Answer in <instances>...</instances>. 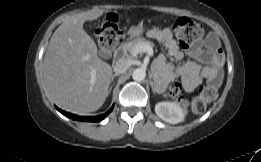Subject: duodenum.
<instances>
[{
	"mask_svg": "<svg viewBox=\"0 0 261 162\" xmlns=\"http://www.w3.org/2000/svg\"><path fill=\"white\" fill-rule=\"evenodd\" d=\"M121 41V40H120ZM119 41V42H120ZM117 51H118V54L119 55H123L124 54V45H123V42H121L118 47H117Z\"/></svg>",
	"mask_w": 261,
	"mask_h": 162,
	"instance_id": "1",
	"label": "duodenum"
}]
</instances>
